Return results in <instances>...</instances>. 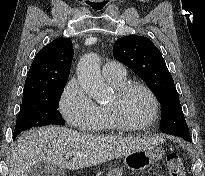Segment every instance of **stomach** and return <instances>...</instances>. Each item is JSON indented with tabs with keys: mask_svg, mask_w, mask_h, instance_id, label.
<instances>
[{
	"mask_svg": "<svg viewBox=\"0 0 205 176\" xmlns=\"http://www.w3.org/2000/svg\"><path fill=\"white\" fill-rule=\"evenodd\" d=\"M164 151L158 147L134 151L124 157V165L132 171H142L162 159ZM119 172H111V176H119Z\"/></svg>",
	"mask_w": 205,
	"mask_h": 176,
	"instance_id": "stomach-1",
	"label": "stomach"
}]
</instances>
